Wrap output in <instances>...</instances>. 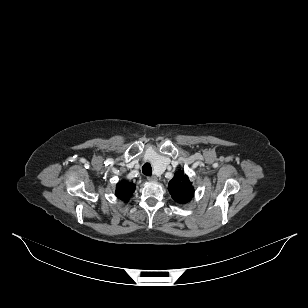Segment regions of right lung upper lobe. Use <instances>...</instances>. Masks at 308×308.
I'll return each mask as SVG.
<instances>
[{
  "label": "right lung upper lobe",
  "mask_w": 308,
  "mask_h": 308,
  "mask_svg": "<svg viewBox=\"0 0 308 308\" xmlns=\"http://www.w3.org/2000/svg\"><path fill=\"white\" fill-rule=\"evenodd\" d=\"M135 185L133 183L121 182L117 184L116 194L117 197L123 201H127L133 194Z\"/></svg>",
  "instance_id": "cb5924a9"
}]
</instances>
